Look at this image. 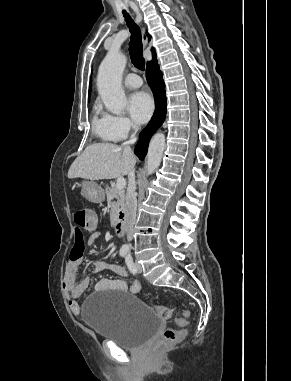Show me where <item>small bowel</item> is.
I'll return each instance as SVG.
<instances>
[{
    "instance_id": "c3829d8e",
    "label": "small bowel",
    "mask_w": 291,
    "mask_h": 381,
    "mask_svg": "<svg viewBox=\"0 0 291 381\" xmlns=\"http://www.w3.org/2000/svg\"><path fill=\"white\" fill-rule=\"evenodd\" d=\"M75 237H76L75 244L69 255V258L65 267L63 289H64L71 311L74 314H78L81 310V306L77 299L87 289L89 285V280L86 278L79 280L77 278V273H78L79 265L81 262L80 248L82 247L83 239L80 238L78 232H76ZM98 238H99V234L97 232H94L87 238L86 242L88 245H93ZM107 269L112 271L118 277L127 276L126 270L124 269V267L120 265L112 264L107 266ZM140 289H141V283L137 279H134L131 282L129 287L123 279L103 278V279H100L96 284V290L99 292L101 291H122V292L130 291L131 293L136 294L140 291Z\"/></svg>"
}]
</instances>
